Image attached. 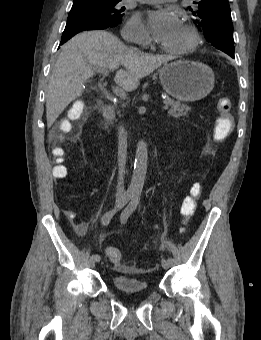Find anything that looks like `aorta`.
<instances>
[{
    "instance_id": "1",
    "label": "aorta",
    "mask_w": 261,
    "mask_h": 340,
    "mask_svg": "<svg viewBox=\"0 0 261 340\" xmlns=\"http://www.w3.org/2000/svg\"><path fill=\"white\" fill-rule=\"evenodd\" d=\"M148 150L144 140L139 141L136 149L132 180L128 188L130 195H140L144 186L147 172Z\"/></svg>"
}]
</instances>
